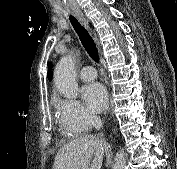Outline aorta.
I'll use <instances>...</instances> for the list:
<instances>
[{
    "label": "aorta",
    "instance_id": "aorta-1",
    "mask_svg": "<svg viewBox=\"0 0 177 169\" xmlns=\"http://www.w3.org/2000/svg\"><path fill=\"white\" fill-rule=\"evenodd\" d=\"M54 84L58 92L67 99L76 98L79 93L76 81L74 58L71 55L62 57L54 70ZM113 169H127L125 153L120 151L114 158Z\"/></svg>",
    "mask_w": 177,
    "mask_h": 169
}]
</instances>
